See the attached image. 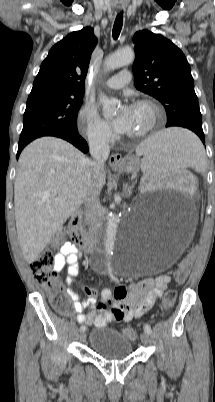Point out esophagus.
<instances>
[{
    "instance_id": "esophagus-1",
    "label": "esophagus",
    "mask_w": 215,
    "mask_h": 402,
    "mask_svg": "<svg viewBox=\"0 0 215 402\" xmlns=\"http://www.w3.org/2000/svg\"><path fill=\"white\" fill-rule=\"evenodd\" d=\"M123 163V158L121 156V154L119 153H113L111 154L110 158H109V165L112 168H117L120 167Z\"/></svg>"
}]
</instances>
